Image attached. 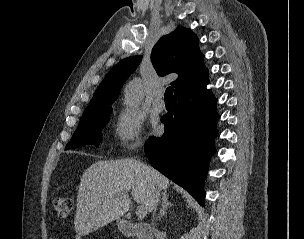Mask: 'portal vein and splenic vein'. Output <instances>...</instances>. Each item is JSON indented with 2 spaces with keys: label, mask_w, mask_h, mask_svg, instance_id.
<instances>
[{
  "label": "portal vein and splenic vein",
  "mask_w": 304,
  "mask_h": 239,
  "mask_svg": "<svg viewBox=\"0 0 304 239\" xmlns=\"http://www.w3.org/2000/svg\"><path fill=\"white\" fill-rule=\"evenodd\" d=\"M147 214V209L144 205H140L136 209V215L138 218H144Z\"/></svg>",
  "instance_id": "obj_1"
}]
</instances>
